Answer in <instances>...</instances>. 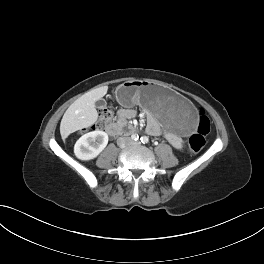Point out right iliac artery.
<instances>
[{
	"mask_svg": "<svg viewBox=\"0 0 264 264\" xmlns=\"http://www.w3.org/2000/svg\"><path fill=\"white\" fill-rule=\"evenodd\" d=\"M132 140L137 141L139 139L138 134H132L131 136Z\"/></svg>",
	"mask_w": 264,
	"mask_h": 264,
	"instance_id": "obj_1",
	"label": "right iliac artery"
}]
</instances>
